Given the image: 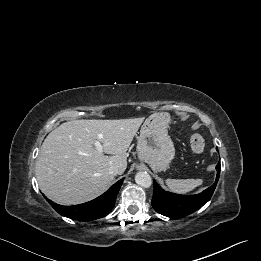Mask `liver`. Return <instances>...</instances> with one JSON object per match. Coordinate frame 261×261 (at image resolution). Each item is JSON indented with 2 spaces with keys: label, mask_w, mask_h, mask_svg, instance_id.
Instances as JSON below:
<instances>
[{
  "label": "liver",
  "mask_w": 261,
  "mask_h": 261,
  "mask_svg": "<svg viewBox=\"0 0 261 261\" xmlns=\"http://www.w3.org/2000/svg\"><path fill=\"white\" fill-rule=\"evenodd\" d=\"M144 118L73 120L62 123L45 138L36 163L42 193L62 205H76L101 195L114 180L110 166L122 174L127 150ZM102 136V138H99ZM103 145L99 152L94 142Z\"/></svg>",
  "instance_id": "liver-1"
}]
</instances>
